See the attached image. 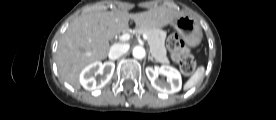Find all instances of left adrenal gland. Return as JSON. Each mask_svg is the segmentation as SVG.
Wrapping results in <instances>:
<instances>
[{
    "label": "left adrenal gland",
    "mask_w": 276,
    "mask_h": 120,
    "mask_svg": "<svg viewBox=\"0 0 276 120\" xmlns=\"http://www.w3.org/2000/svg\"><path fill=\"white\" fill-rule=\"evenodd\" d=\"M148 60L154 62V59H153V57H152L150 54H149V56H148Z\"/></svg>",
    "instance_id": "1"
}]
</instances>
